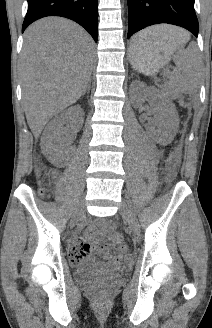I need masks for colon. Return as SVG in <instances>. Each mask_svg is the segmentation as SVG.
<instances>
[{
	"mask_svg": "<svg viewBox=\"0 0 212 328\" xmlns=\"http://www.w3.org/2000/svg\"><path fill=\"white\" fill-rule=\"evenodd\" d=\"M176 166H177L176 158L173 157V158H171V160H170V162H169V169H170V173H171L172 175L175 173ZM37 174H38L39 176H41V174H42V169H41V167H39V168L37 169ZM109 237H110V240H111L113 243H115V244L118 245V252H119V253H124V252L127 251V245L123 242V237H122V235H121L120 233H118V232H111L110 235H109ZM71 260H72L73 262H77L76 259H75L74 257H71ZM132 260H133V257H132L131 255H127V256H126V261H127V263H131ZM104 296H105V293H104L103 291H100V292H98V294H97V297H98L99 299L103 298Z\"/></svg>",
	"mask_w": 212,
	"mask_h": 328,
	"instance_id": "obj_1",
	"label": "colon"
}]
</instances>
